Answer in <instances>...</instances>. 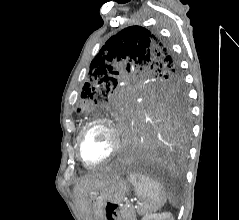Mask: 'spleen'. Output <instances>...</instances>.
Wrapping results in <instances>:
<instances>
[{
	"label": "spleen",
	"mask_w": 239,
	"mask_h": 220,
	"mask_svg": "<svg viewBox=\"0 0 239 220\" xmlns=\"http://www.w3.org/2000/svg\"><path fill=\"white\" fill-rule=\"evenodd\" d=\"M128 179L134 186L137 197L141 200L137 207L139 215H147L164 206L166 198L159 183L138 173H130Z\"/></svg>",
	"instance_id": "3e777b00"
}]
</instances>
